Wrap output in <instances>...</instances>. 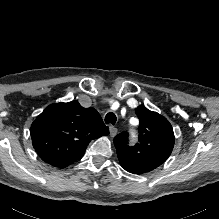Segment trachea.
Listing matches in <instances>:
<instances>
[{
    "instance_id": "1",
    "label": "trachea",
    "mask_w": 219,
    "mask_h": 219,
    "mask_svg": "<svg viewBox=\"0 0 219 219\" xmlns=\"http://www.w3.org/2000/svg\"><path fill=\"white\" fill-rule=\"evenodd\" d=\"M116 121H117V118H116V115L114 113L109 112L106 114V116H105V123L106 124L110 123L112 125H115Z\"/></svg>"
}]
</instances>
